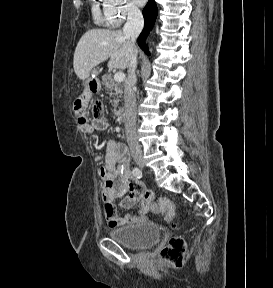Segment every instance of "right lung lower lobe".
<instances>
[{
	"label": "right lung lower lobe",
	"mask_w": 273,
	"mask_h": 288,
	"mask_svg": "<svg viewBox=\"0 0 273 288\" xmlns=\"http://www.w3.org/2000/svg\"><path fill=\"white\" fill-rule=\"evenodd\" d=\"M143 16H144L145 26H144L142 33L139 36L138 44L142 48V50H144L147 54H149L148 47L145 45L144 40H145V37L150 32V30L152 29L156 16H157V6L154 0H149L147 5L143 9Z\"/></svg>",
	"instance_id": "obj_1"
}]
</instances>
